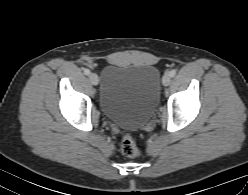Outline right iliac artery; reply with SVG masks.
Masks as SVG:
<instances>
[{
	"label": "right iliac artery",
	"instance_id": "1",
	"mask_svg": "<svg viewBox=\"0 0 248 195\" xmlns=\"http://www.w3.org/2000/svg\"><path fill=\"white\" fill-rule=\"evenodd\" d=\"M84 74H85V75H89V74H90V70H89V69H85V70H84Z\"/></svg>",
	"mask_w": 248,
	"mask_h": 195
}]
</instances>
